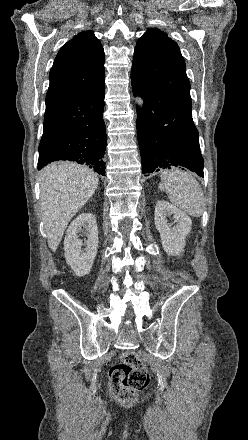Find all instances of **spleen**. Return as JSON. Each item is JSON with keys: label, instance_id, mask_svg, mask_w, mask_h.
Returning <instances> with one entry per match:
<instances>
[{"label": "spleen", "instance_id": "obj_1", "mask_svg": "<svg viewBox=\"0 0 248 440\" xmlns=\"http://www.w3.org/2000/svg\"><path fill=\"white\" fill-rule=\"evenodd\" d=\"M159 189L166 191L170 201L193 217L204 210V196L198 181L189 173L177 168L161 174Z\"/></svg>", "mask_w": 248, "mask_h": 440}]
</instances>
